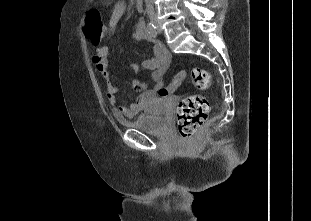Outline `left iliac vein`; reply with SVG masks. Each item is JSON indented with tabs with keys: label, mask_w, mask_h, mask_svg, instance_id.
Masks as SVG:
<instances>
[{
	"label": "left iliac vein",
	"mask_w": 311,
	"mask_h": 221,
	"mask_svg": "<svg viewBox=\"0 0 311 221\" xmlns=\"http://www.w3.org/2000/svg\"><path fill=\"white\" fill-rule=\"evenodd\" d=\"M156 27H157L158 32L161 33L162 29H161L160 25L157 22H156Z\"/></svg>",
	"instance_id": "obj_1"
}]
</instances>
